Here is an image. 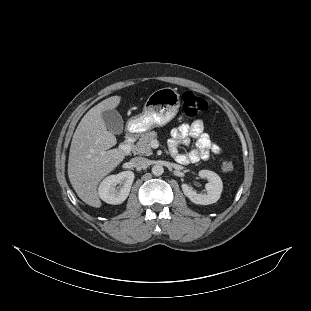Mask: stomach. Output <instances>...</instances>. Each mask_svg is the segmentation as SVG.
Here are the masks:
<instances>
[{"instance_id":"0dacf381","label":"stomach","mask_w":311,"mask_h":311,"mask_svg":"<svg viewBox=\"0 0 311 311\" xmlns=\"http://www.w3.org/2000/svg\"><path fill=\"white\" fill-rule=\"evenodd\" d=\"M179 107V94L174 89L169 87L158 89L146 100L143 112L127 121L125 130L133 136L146 134L174 119Z\"/></svg>"}]
</instances>
